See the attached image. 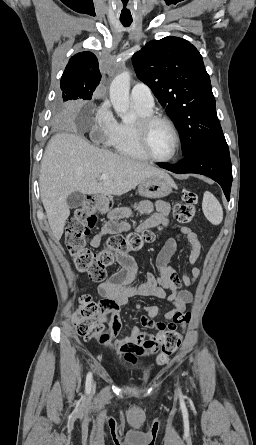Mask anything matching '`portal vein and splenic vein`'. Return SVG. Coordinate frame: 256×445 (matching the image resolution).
Returning a JSON list of instances; mask_svg holds the SVG:
<instances>
[{"label": "portal vein and splenic vein", "mask_w": 256, "mask_h": 445, "mask_svg": "<svg viewBox=\"0 0 256 445\" xmlns=\"http://www.w3.org/2000/svg\"><path fill=\"white\" fill-rule=\"evenodd\" d=\"M109 178V175H107V174H102L101 176H100V179L101 180H106V179H108Z\"/></svg>", "instance_id": "1"}]
</instances>
